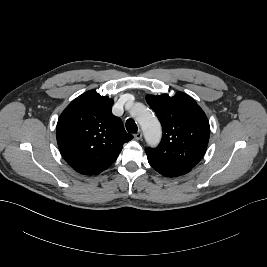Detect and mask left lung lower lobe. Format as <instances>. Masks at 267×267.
Here are the masks:
<instances>
[{"instance_id":"left-lung-lower-lobe-1","label":"left lung lower lobe","mask_w":267,"mask_h":267,"mask_svg":"<svg viewBox=\"0 0 267 267\" xmlns=\"http://www.w3.org/2000/svg\"><path fill=\"white\" fill-rule=\"evenodd\" d=\"M149 164L160 174L167 176V177H176L180 175H184L190 171V169L186 168H178V167H168L163 165H158L149 162Z\"/></svg>"}]
</instances>
